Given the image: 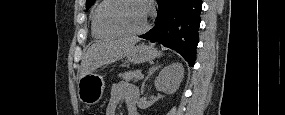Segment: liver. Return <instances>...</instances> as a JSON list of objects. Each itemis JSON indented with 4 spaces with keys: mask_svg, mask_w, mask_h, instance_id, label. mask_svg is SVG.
<instances>
[{
    "mask_svg": "<svg viewBox=\"0 0 285 115\" xmlns=\"http://www.w3.org/2000/svg\"><path fill=\"white\" fill-rule=\"evenodd\" d=\"M138 41V38H121L92 44L81 62L80 77L124 58Z\"/></svg>",
    "mask_w": 285,
    "mask_h": 115,
    "instance_id": "liver-1",
    "label": "liver"
}]
</instances>
